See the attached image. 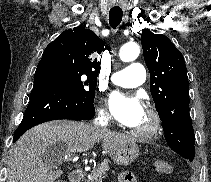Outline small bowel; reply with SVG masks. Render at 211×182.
<instances>
[{"label": "small bowel", "mask_w": 211, "mask_h": 182, "mask_svg": "<svg viewBox=\"0 0 211 182\" xmlns=\"http://www.w3.org/2000/svg\"><path fill=\"white\" fill-rule=\"evenodd\" d=\"M119 182H137L130 172H122L119 175Z\"/></svg>", "instance_id": "c3829d8e"}]
</instances>
